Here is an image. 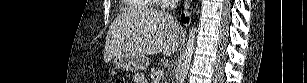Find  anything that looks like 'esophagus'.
<instances>
[{
  "mask_svg": "<svg viewBox=\"0 0 307 83\" xmlns=\"http://www.w3.org/2000/svg\"><path fill=\"white\" fill-rule=\"evenodd\" d=\"M192 1L191 0H187L185 1V12H187L188 8H189V5Z\"/></svg>",
  "mask_w": 307,
  "mask_h": 83,
  "instance_id": "34e87169",
  "label": "esophagus"
}]
</instances>
